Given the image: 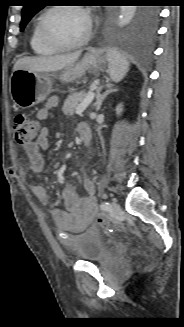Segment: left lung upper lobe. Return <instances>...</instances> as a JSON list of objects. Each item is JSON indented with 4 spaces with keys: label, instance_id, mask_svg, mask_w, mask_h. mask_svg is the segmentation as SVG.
<instances>
[{
    "label": "left lung upper lobe",
    "instance_id": "obj_1",
    "mask_svg": "<svg viewBox=\"0 0 184 327\" xmlns=\"http://www.w3.org/2000/svg\"><path fill=\"white\" fill-rule=\"evenodd\" d=\"M44 6L41 0H27L26 5L23 6L22 20H21V31H23L26 24L30 19L40 11Z\"/></svg>",
    "mask_w": 184,
    "mask_h": 327
}]
</instances>
